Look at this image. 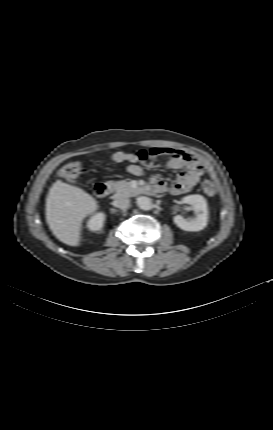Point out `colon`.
I'll return each mask as SVG.
<instances>
[{"mask_svg": "<svg viewBox=\"0 0 273 430\" xmlns=\"http://www.w3.org/2000/svg\"><path fill=\"white\" fill-rule=\"evenodd\" d=\"M80 170L81 166L79 162H70L62 167L60 176L67 181H73L79 175ZM202 189L208 196H213L216 193V185L210 180L203 182Z\"/></svg>", "mask_w": 273, "mask_h": 430, "instance_id": "colon-1", "label": "colon"}]
</instances>
